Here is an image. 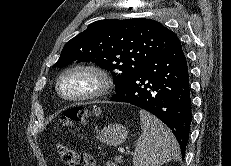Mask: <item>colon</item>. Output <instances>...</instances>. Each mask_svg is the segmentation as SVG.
<instances>
[{
  "label": "colon",
  "instance_id": "5ec220e1",
  "mask_svg": "<svg viewBox=\"0 0 231 166\" xmlns=\"http://www.w3.org/2000/svg\"><path fill=\"white\" fill-rule=\"evenodd\" d=\"M98 110L89 111L84 108H70L65 112L62 119V126H70L74 123H84L91 114H97ZM60 159L66 166H95L92 157L87 154L78 153L75 150L63 145H57Z\"/></svg>",
  "mask_w": 231,
  "mask_h": 166
}]
</instances>
